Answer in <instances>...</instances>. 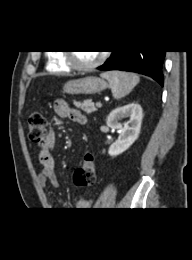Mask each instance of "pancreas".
I'll return each mask as SVG.
<instances>
[{"instance_id": "cf45deb5", "label": "pancreas", "mask_w": 192, "mask_h": 260, "mask_svg": "<svg viewBox=\"0 0 192 260\" xmlns=\"http://www.w3.org/2000/svg\"><path fill=\"white\" fill-rule=\"evenodd\" d=\"M73 104L75 105V107H77L78 109H81L82 111H84L87 114H91V113L97 111V108L95 107L94 102H92L91 100H86L84 102L73 101Z\"/></svg>"}]
</instances>
